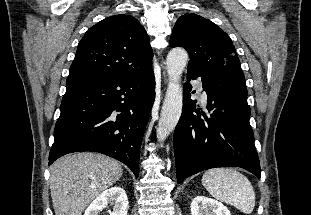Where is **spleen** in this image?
<instances>
[{"instance_id":"1","label":"spleen","mask_w":311,"mask_h":215,"mask_svg":"<svg viewBox=\"0 0 311 215\" xmlns=\"http://www.w3.org/2000/svg\"><path fill=\"white\" fill-rule=\"evenodd\" d=\"M202 184L212 197L233 205L244 214L255 206V193L246 176L232 168H213L202 177Z\"/></svg>"}]
</instances>
